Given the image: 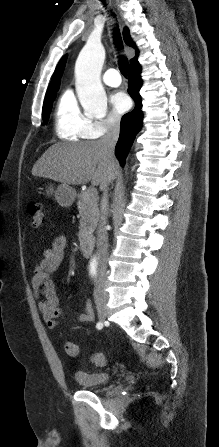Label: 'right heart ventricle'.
<instances>
[{
    "mask_svg": "<svg viewBox=\"0 0 219 447\" xmlns=\"http://www.w3.org/2000/svg\"><path fill=\"white\" fill-rule=\"evenodd\" d=\"M54 128L58 138L67 142L93 139L94 123L81 112L73 93L65 91L58 100L54 113Z\"/></svg>",
    "mask_w": 219,
    "mask_h": 447,
    "instance_id": "right-heart-ventricle-1",
    "label": "right heart ventricle"
}]
</instances>
